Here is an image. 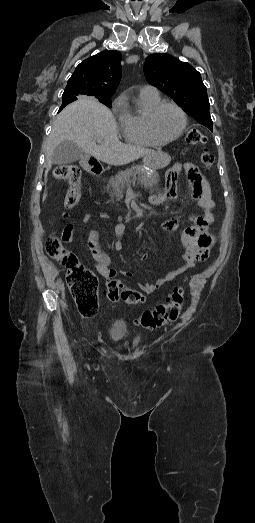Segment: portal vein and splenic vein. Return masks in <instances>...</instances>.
I'll return each instance as SVG.
<instances>
[{"label":"portal vein and splenic vein","instance_id":"obj_1","mask_svg":"<svg viewBox=\"0 0 255 523\" xmlns=\"http://www.w3.org/2000/svg\"><path fill=\"white\" fill-rule=\"evenodd\" d=\"M126 190H127L126 195L128 197L134 196V191L131 190V185H126Z\"/></svg>","mask_w":255,"mask_h":523}]
</instances>
